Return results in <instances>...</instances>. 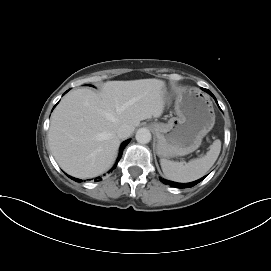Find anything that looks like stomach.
<instances>
[{"label":"stomach","instance_id":"0dacf381","mask_svg":"<svg viewBox=\"0 0 271 271\" xmlns=\"http://www.w3.org/2000/svg\"><path fill=\"white\" fill-rule=\"evenodd\" d=\"M173 100L177 116L167 123L152 124L157 137L156 152L161 158L192 153L215 124L213 103L200 89L166 90L165 105L169 106Z\"/></svg>","mask_w":271,"mask_h":271}]
</instances>
